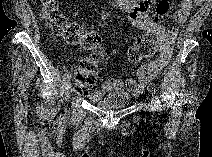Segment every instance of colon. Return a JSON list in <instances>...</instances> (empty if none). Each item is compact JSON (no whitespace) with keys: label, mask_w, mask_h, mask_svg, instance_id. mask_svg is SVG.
Masks as SVG:
<instances>
[{"label":"colon","mask_w":212,"mask_h":157,"mask_svg":"<svg viewBox=\"0 0 212 157\" xmlns=\"http://www.w3.org/2000/svg\"><path fill=\"white\" fill-rule=\"evenodd\" d=\"M42 5L41 17L55 35L62 37L68 43L82 45L90 52L81 60L74 77L76 91L82 94L87 93L97 82L98 62L103 58L100 39L96 35L87 34L80 24L63 15L57 2L49 0ZM170 9V0L158 2L152 16L153 21L161 25ZM164 37L165 34L157 28L147 30L128 48V61L136 64L154 57Z\"/></svg>","instance_id":"obj_1"}]
</instances>
